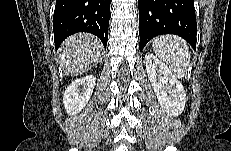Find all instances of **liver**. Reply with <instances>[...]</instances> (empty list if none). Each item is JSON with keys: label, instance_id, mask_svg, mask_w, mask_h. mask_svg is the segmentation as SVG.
Returning <instances> with one entry per match:
<instances>
[{"label": "liver", "instance_id": "1", "mask_svg": "<svg viewBox=\"0 0 231 151\" xmlns=\"http://www.w3.org/2000/svg\"><path fill=\"white\" fill-rule=\"evenodd\" d=\"M100 40L87 33H78L67 38L60 47L59 64L65 75L75 76L84 72L101 57Z\"/></svg>", "mask_w": 231, "mask_h": 151}]
</instances>
